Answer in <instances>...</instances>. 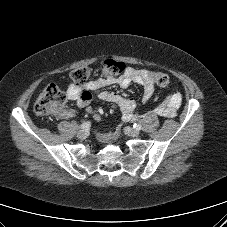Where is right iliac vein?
<instances>
[{
  "label": "right iliac vein",
  "mask_w": 227,
  "mask_h": 227,
  "mask_svg": "<svg viewBox=\"0 0 227 227\" xmlns=\"http://www.w3.org/2000/svg\"><path fill=\"white\" fill-rule=\"evenodd\" d=\"M86 135H87V133H86V130H84V129L79 130L78 133H77V137L79 139H85Z\"/></svg>",
  "instance_id": "right-iliac-vein-1"
}]
</instances>
